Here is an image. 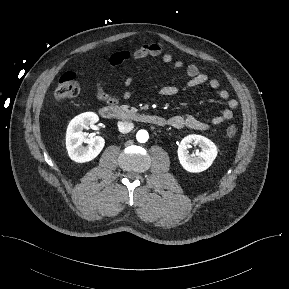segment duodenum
I'll list each match as a JSON object with an SVG mask.
<instances>
[{"label": "duodenum", "mask_w": 289, "mask_h": 289, "mask_svg": "<svg viewBox=\"0 0 289 289\" xmlns=\"http://www.w3.org/2000/svg\"><path fill=\"white\" fill-rule=\"evenodd\" d=\"M99 114L104 119L133 120L155 126L166 125V119L159 115L132 112L114 104L103 106Z\"/></svg>", "instance_id": "duodenum-1"}]
</instances>
